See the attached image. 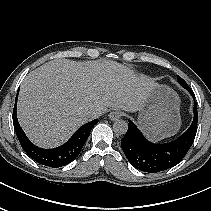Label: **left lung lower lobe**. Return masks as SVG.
Listing matches in <instances>:
<instances>
[{
  "label": "left lung lower lobe",
  "instance_id": "obj_1",
  "mask_svg": "<svg viewBox=\"0 0 211 211\" xmlns=\"http://www.w3.org/2000/svg\"><path fill=\"white\" fill-rule=\"evenodd\" d=\"M182 86L193 96L194 118L188 130L178 139L166 144L151 143L129 120L128 130L121 140V147L128 161L135 168L148 173L167 170L180 163L192 146L197 132V103L190 87L187 84Z\"/></svg>",
  "mask_w": 211,
  "mask_h": 211
}]
</instances>
